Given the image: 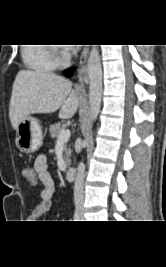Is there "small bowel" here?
Here are the masks:
<instances>
[{"instance_id":"c3829d8e","label":"small bowel","mask_w":166,"mask_h":267,"mask_svg":"<svg viewBox=\"0 0 166 267\" xmlns=\"http://www.w3.org/2000/svg\"><path fill=\"white\" fill-rule=\"evenodd\" d=\"M35 171V177H38L40 184V202L29 213L28 218L31 220H39L43 218L52 207V197L55 193V181L51 173L48 170V161L46 155H39L35 159L33 168ZM34 184L33 182H30Z\"/></svg>"}]
</instances>
